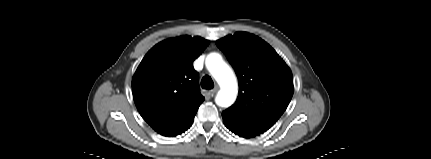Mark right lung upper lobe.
<instances>
[{
	"label": "right lung upper lobe",
	"mask_w": 431,
	"mask_h": 159,
	"mask_svg": "<svg viewBox=\"0 0 431 159\" xmlns=\"http://www.w3.org/2000/svg\"><path fill=\"white\" fill-rule=\"evenodd\" d=\"M201 37L180 36L155 45L132 79L135 105L158 133L173 137L185 132L203 102L193 61L208 46Z\"/></svg>",
	"instance_id": "right-lung-upper-lobe-1"
}]
</instances>
